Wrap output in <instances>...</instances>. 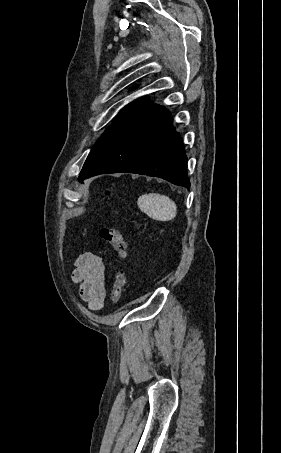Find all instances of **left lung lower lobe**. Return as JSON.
Instances as JSON below:
<instances>
[{"mask_svg": "<svg viewBox=\"0 0 281 453\" xmlns=\"http://www.w3.org/2000/svg\"><path fill=\"white\" fill-rule=\"evenodd\" d=\"M172 124L168 110L146 98L141 100L82 168L79 182L98 174L130 172L189 188L187 157Z\"/></svg>", "mask_w": 281, "mask_h": 453, "instance_id": "1", "label": "left lung lower lobe"}]
</instances>
